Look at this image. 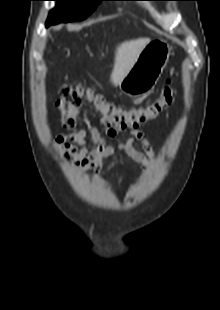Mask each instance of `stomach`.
Wrapping results in <instances>:
<instances>
[{
  "mask_svg": "<svg viewBox=\"0 0 220 310\" xmlns=\"http://www.w3.org/2000/svg\"><path fill=\"white\" fill-rule=\"evenodd\" d=\"M170 46L162 39L150 41L135 64L119 83L120 90L131 97L148 94L156 85L170 56Z\"/></svg>",
  "mask_w": 220,
  "mask_h": 310,
  "instance_id": "obj_1",
  "label": "stomach"
}]
</instances>
